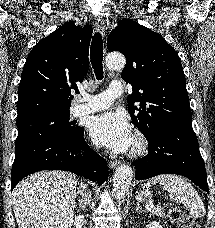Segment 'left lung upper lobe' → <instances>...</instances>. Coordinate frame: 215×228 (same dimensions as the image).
Instances as JSON below:
<instances>
[{"label":"left lung upper lobe","mask_w":215,"mask_h":228,"mask_svg":"<svg viewBox=\"0 0 215 228\" xmlns=\"http://www.w3.org/2000/svg\"><path fill=\"white\" fill-rule=\"evenodd\" d=\"M107 49L126 57L121 77L133 89L128 111L146 139L163 124L192 119L180 58L160 34L123 19L109 34Z\"/></svg>","instance_id":"1"}]
</instances>
